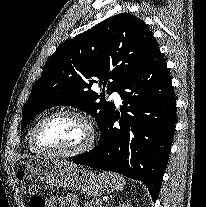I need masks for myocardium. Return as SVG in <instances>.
Segmentation results:
<instances>
[{
    "instance_id": "f54148a6",
    "label": "myocardium",
    "mask_w": 206,
    "mask_h": 207,
    "mask_svg": "<svg viewBox=\"0 0 206 207\" xmlns=\"http://www.w3.org/2000/svg\"><path fill=\"white\" fill-rule=\"evenodd\" d=\"M63 116L77 118V119L81 120L86 125L88 132H89V136H88V139L85 142V144L79 148L69 150V151L51 149V148H47V147H44L43 145H41L37 139V133H38L39 128L45 122H47L53 118L63 117ZM30 140H31V144H32L33 148L37 152L45 153V154H49V155H54V156H61V157H74V156L84 154L93 148L95 141H96V129H95V126H94L93 122L91 121V119L88 116H86L85 114H83L79 111H76V110H59V111L52 112L48 115H45L35 124V126L31 130Z\"/></svg>"
}]
</instances>
